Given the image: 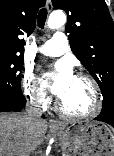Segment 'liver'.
<instances>
[{
    "label": "liver",
    "mask_w": 114,
    "mask_h": 156,
    "mask_svg": "<svg viewBox=\"0 0 114 156\" xmlns=\"http://www.w3.org/2000/svg\"><path fill=\"white\" fill-rule=\"evenodd\" d=\"M47 123L32 121L26 114H0V156H31L41 145Z\"/></svg>",
    "instance_id": "6515ba94"
}]
</instances>
